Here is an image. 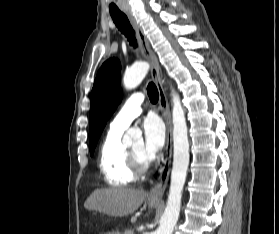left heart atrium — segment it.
Wrapping results in <instances>:
<instances>
[{
  "label": "left heart atrium",
  "mask_w": 279,
  "mask_h": 234,
  "mask_svg": "<svg viewBox=\"0 0 279 234\" xmlns=\"http://www.w3.org/2000/svg\"><path fill=\"white\" fill-rule=\"evenodd\" d=\"M142 130L144 134L145 155L148 159H152L164 145V126L158 117L148 116L142 123Z\"/></svg>",
  "instance_id": "obj_1"
}]
</instances>
